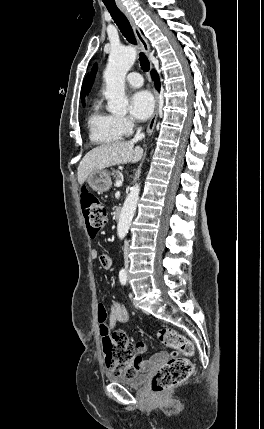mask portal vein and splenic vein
<instances>
[{
    "mask_svg": "<svg viewBox=\"0 0 264 429\" xmlns=\"http://www.w3.org/2000/svg\"><path fill=\"white\" fill-rule=\"evenodd\" d=\"M122 183H123V178H122L121 180H118V181L116 182V186H117V187H120V186H122Z\"/></svg>",
    "mask_w": 264,
    "mask_h": 429,
    "instance_id": "portal-vein-and-splenic-vein-1",
    "label": "portal vein and splenic vein"
}]
</instances>
